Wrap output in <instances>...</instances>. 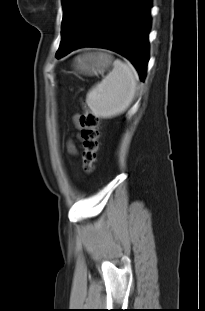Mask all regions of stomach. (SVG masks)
Returning a JSON list of instances; mask_svg holds the SVG:
<instances>
[{
	"mask_svg": "<svg viewBox=\"0 0 205 311\" xmlns=\"http://www.w3.org/2000/svg\"><path fill=\"white\" fill-rule=\"evenodd\" d=\"M113 57L104 52L86 53L76 57L75 70L83 75L104 73L112 64Z\"/></svg>",
	"mask_w": 205,
	"mask_h": 311,
	"instance_id": "1",
	"label": "stomach"
}]
</instances>
